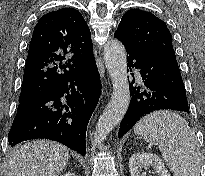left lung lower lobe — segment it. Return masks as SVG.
<instances>
[{
  "label": "left lung lower lobe",
  "instance_id": "1",
  "mask_svg": "<svg viewBox=\"0 0 205 176\" xmlns=\"http://www.w3.org/2000/svg\"><path fill=\"white\" fill-rule=\"evenodd\" d=\"M127 51V68L139 69L142 85L133 87L130 84V105L120 123L118 138L128 132L132 126L145 115L163 109L189 113L186 91L176 60H166L125 44ZM131 70V69H130Z\"/></svg>",
  "mask_w": 205,
  "mask_h": 176
}]
</instances>
